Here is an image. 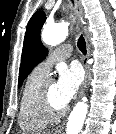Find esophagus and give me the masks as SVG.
Masks as SVG:
<instances>
[{"mask_svg":"<svg viewBox=\"0 0 116 134\" xmlns=\"http://www.w3.org/2000/svg\"><path fill=\"white\" fill-rule=\"evenodd\" d=\"M74 3H75V12H76V15L78 18V23H79L80 27H82V25L84 24V19H83V7L81 4V0H74ZM86 47H87V54L83 59V66L85 69V78H84L82 87L80 89L79 97H81L84 94V91H85V88L87 85L88 76H89L88 59L90 57V44L88 42L86 44ZM64 125H65V122H63L61 125H59L56 128L55 132L61 133V131L64 129Z\"/></svg>","mask_w":116,"mask_h":134,"instance_id":"34e87169","label":"esophagus"}]
</instances>
